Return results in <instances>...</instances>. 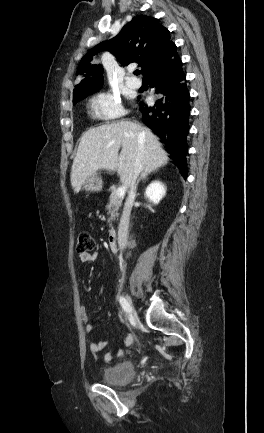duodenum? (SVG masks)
<instances>
[{"mask_svg": "<svg viewBox=\"0 0 264 433\" xmlns=\"http://www.w3.org/2000/svg\"><path fill=\"white\" fill-rule=\"evenodd\" d=\"M118 231L115 229H112L109 231L108 233V237H107V241H108V245L112 250H117V246H118Z\"/></svg>", "mask_w": 264, "mask_h": 433, "instance_id": "duodenum-1", "label": "duodenum"}]
</instances>
